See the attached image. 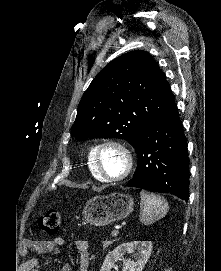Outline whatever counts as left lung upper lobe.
Returning a JSON list of instances; mask_svg holds the SVG:
<instances>
[{"label": "left lung upper lobe", "instance_id": "5c2ea615", "mask_svg": "<svg viewBox=\"0 0 221 271\" xmlns=\"http://www.w3.org/2000/svg\"><path fill=\"white\" fill-rule=\"evenodd\" d=\"M174 100L165 74L146 51L108 63L82 96L71 133L77 140L122 138L134 144L140 131L163 116Z\"/></svg>", "mask_w": 221, "mask_h": 271}]
</instances>
